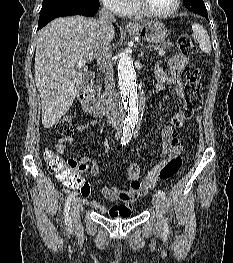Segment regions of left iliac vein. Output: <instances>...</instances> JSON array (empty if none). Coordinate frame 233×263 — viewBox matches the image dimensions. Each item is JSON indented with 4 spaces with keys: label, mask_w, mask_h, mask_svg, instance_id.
Returning <instances> with one entry per match:
<instances>
[{
    "label": "left iliac vein",
    "mask_w": 233,
    "mask_h": 263,
    "mask_svg": "<svg viewBox=\"0 0 233 263\" xmlns=\"http://www.w3.org/2000/svg\"><path fill=\"white\" fill-rule=\"evenodd\" d=\"M153 207L157 213V228H162L163 225V205L161 197L156 194L152 199Z\"/></svg>",
    "instance_id": "4c4485c4"
}]
</instances>
